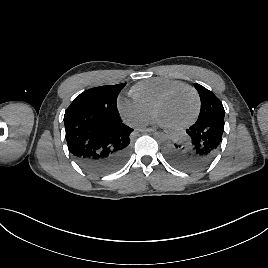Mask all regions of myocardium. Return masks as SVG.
<instances>
[{
	"label": "myocardium",
	"mask_w": 268,
	"mask_h": 268,
	"mask_svg": "<svg viewBox=\"0 0 268 268\" xmlns=\"http://www.w3.org/2000/svg\"><path fill=\"white\" fill-rule=\"evenodd\" d=\"M181 89H188L189 91L192 92L195 101H196V107H195V111L193 113V115L191 116V118H189L186 122L178 125V126H174V127H168L170 130H182L185 129L186 127L190 126L191 124H193L196 119L198 118L199 114H200V110H201V99H200V95L197 92V90L186 83H180L177 84L173 87H171L170 89H168L164 94H162V96L158 99V101L156 102L155 106H154V116L156 118V120H158V110L161 107V105L167 100L169 99L175 92H177L178 90Z\"/></svg>",
	"instance_id": "1"
}]
</instances>
